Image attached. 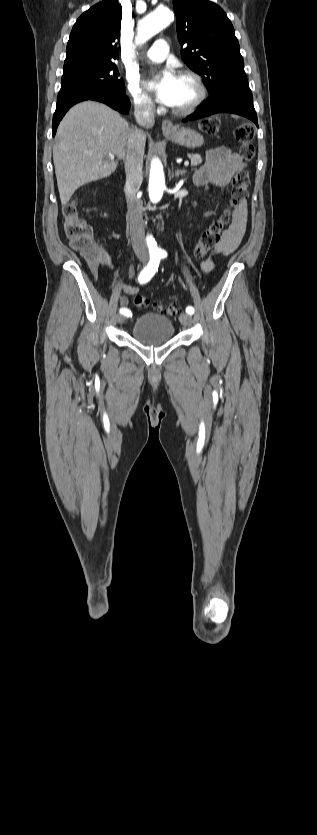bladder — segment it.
Wrapping results in <instances>:
<instances>
[{"mask_svg": "<svg viewBox=\"0 0 317 835\" xmlns=\"http://www.w3.org/2000/svg\"><path fill=\"white\" fill-rule=\"evenodd\" d=\"M173 322L157 313H146L134 322L131 335L134 340L145 345H157L170 341L174 337Z\"/></svg>", "mask_w": 317, "mask_h": 835, "instance_id": "1", "label": "bladder"}]
</instances>
